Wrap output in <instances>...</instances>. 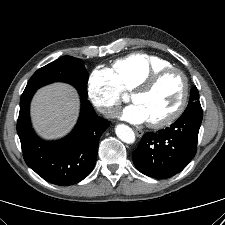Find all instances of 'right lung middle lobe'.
Returning <instances> with one entry per match:
<instances>
[{
	"instance_id": "obj_1",
	"label": "right lung middle lobe",
	"mask_w": 225,
	"mask_h": 225,
	"mask_svg": "<svg viewBox=\"0 0 225 225\" xmlns=\"http://www.w3.org/2000/svg\"><path fill=\"white\" fill-rule=\"evenodd\" d=\"M56 81L72 84L81 97L87 98L88 73L82 60L64 56L37 70L27 83L24 92L36 91L38 88Z\"/></svg>"
}]
</instances>
